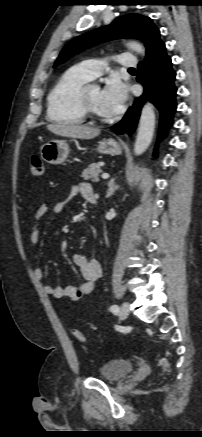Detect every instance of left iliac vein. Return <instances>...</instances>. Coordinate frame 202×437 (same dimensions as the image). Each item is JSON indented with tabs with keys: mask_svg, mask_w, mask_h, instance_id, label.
I'll use <instances>...</instances> for the list:
<instances>
[{
	"mask_svg": "<svg viewBox=\"0 0 202 437\" xmlns=\"http://www.w3.org/2000/svg\"><path fill=\"white\" fill-rule=\"evenodd\" d=\"M130 312V305L128 302H124L121 306V309L119 311V316L121 319L127 318Z\"/></svg>",
	"mask_w": 202,
	"mask_h": 437,
	"instance_id": "obj_1",
	"label": "left iliac vein"
}]
</instances>
